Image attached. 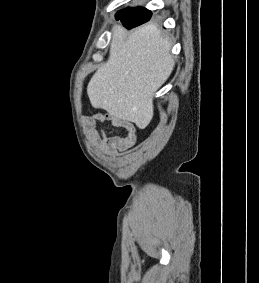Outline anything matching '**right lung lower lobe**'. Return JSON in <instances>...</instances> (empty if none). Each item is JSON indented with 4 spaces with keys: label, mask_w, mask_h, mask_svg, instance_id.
<instances>
[{
    "label": "right lung lower lobe",
    "mask_w": 259,
    "mask_h": 283,
    "mask_svg": "<svg viewBox=\"0 0 259 283\" xmlns=\"http://www.w3.org/2000/svg\"><path fill=\"white\" fill-rule=\"evenodd\" d=\"M152 13L145 8H134L119 11L116 19L121 20L127 29L134 28L150 20Z\"/></svg>",
    "instance_id": "98d812e1"
}]
</instances>
